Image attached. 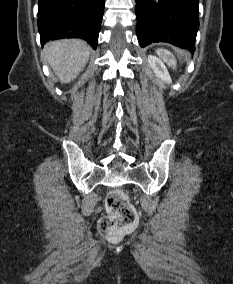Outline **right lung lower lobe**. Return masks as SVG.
<instances>
[{
  "mask_svg": "<svg viewBox=\"0 0 233 284\" xmlns=\"http://www.w3.org/2000/svg\"><path fill=\"white\" fill-rule=\"evenodd\" d=\"M105 0H39L38 29L41 43L81 38L97 48Z\"/></svg>",
  "mask_w": 233,
  "mask_h": 284,
  "instance_id": "1",
  "label": "right lung lower lobe"
}]
</instances>
